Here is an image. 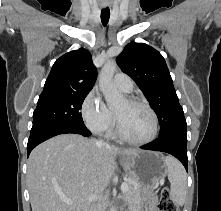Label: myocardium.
<instances>
[{"label": "myocardium", "mask_w": 221, "mask_h": 211, "mask_svg": "<svg viewBox=\"0 0 221 211\" xmlns=\"http://www.w3.org/2000/svg\"><path fill=\"white\" fill-rule=\"evenodd\" d=\"M126 100L130 104L139 105V106H142V107H144V108H146L148 110V112L152 116L153 129H152L151 135L148 138L144 139V140H134V139H131L130 137H128L124 133V131H123L122 127H121L120 121H119L117 115L115 114L116 132H117L118 137L121 140H123L124 142H126V143H129V144H132V145H138V146L146 145V144L152 142L156 138V136L158 134L159 123H158V117H157L156 112L154 111V109L147 102H145L142 99H139V98H136V97H129Z\"/></svg>", "instance_id": "obj_1"}]
</instances>
